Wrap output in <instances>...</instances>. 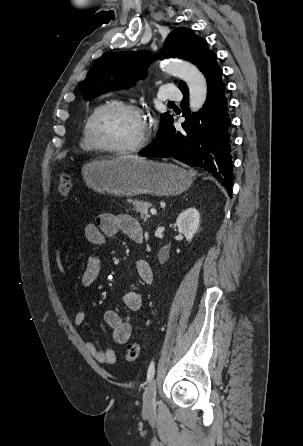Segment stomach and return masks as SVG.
<instances>
[{
	"mask_svg": "<svg viewBox=\"0 0 303 446\" xmlns=\"http://www.w3.org/2000/svg\"><path fill=\"white\" fill-rule=\"evenodd\" d=\"M86 185L98 193L177 195L186 191L191 175L181 167L145 159L117 158L91 161L82 168Z\"/></svg>",
	"mask_w": 303,
	"mask_h": 446,
	"instance_id": "0dacf381",
	"label": "stomach"
}]
</instances>
